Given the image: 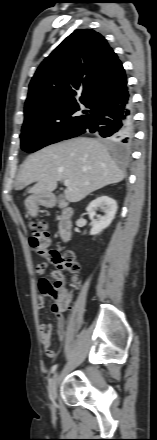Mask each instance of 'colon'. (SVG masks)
<instances>
[{"mask_svg":"<svg viewBox=\"0 0 157 440\" xmlns=\"http://www.w3.org/2000/svg\"><path fill=\"white\" fill-rule=\"evenodd\" d=\"M29 242L36 253L49 260L56 267L53 280H43L41 289L43 294L53 302V308L65 310L69 307L70 293L65 287L64 273L76 277L80 270L79 263L72 252L61 253L58 250H49L50 236L43 222L32 224Z\"/></svg>","mask_w":157,"mask_h":440,"instance_id":"colon-1","label":"colon"}]
</instances>
